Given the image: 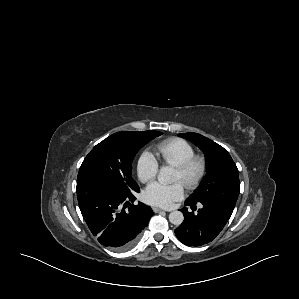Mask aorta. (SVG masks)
<instances>
[{
  "label": "aorta",
  "mask_w": 299,
  "mask_h": 299,
  "mask_svg": "<svg viewBox=\"0 0 299 299\" xmlns=\"http://www.w3.org/2000/svg\"><path fill=\"white\" fill-rule=\"evenodd\" d=\"M174 170L169 166L161 167L158 174V181L161 184H168L173 181ZM184 220V215L181 211H172L169 214V221L174 225H181Z\"/></svg>",
  "instance_id": "1"
}]
</instances>
